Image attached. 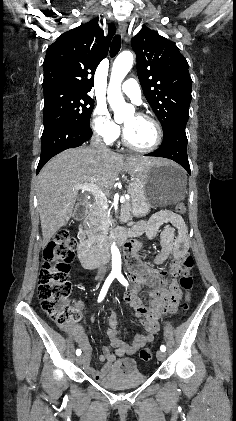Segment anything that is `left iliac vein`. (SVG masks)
Instances as JSON below:
<instances>
[{
  "label": "left iliac vein",
  "mask_w": 236,
  "mask_h": 421,
  "mask_svg": "<svg viewBox=\"0 0 236 421\" xmlns=\"http://www.w3.org/2000/svg\"><path fill=\"white\" fill-rule=\"evenodd\" d=\"M156 357L159 360H163L166 357V354L164 352H162V351H157L156 352Z\"/></svg>",
  "instance_id": "left-iliac-vein-1"
}]
</instances>
